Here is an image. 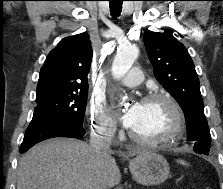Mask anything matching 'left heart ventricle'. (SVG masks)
Wrapping results in <instances>:
<instances>
[{"mask_svg": "<svg viewBox=\"0 0 223 189\" xmlns=\"http://www.w3.org/2000/svg\"><path fill=\"white\" fill-rule=\"evenodd\" d=\"M172 125V114L163 101L142 102L141 115L131 128L133 132L145 137L164 133Z\"/></svg>", "mask_w": 223, "mask_h": 189, "instance_id": "1", "label": "left heart ventricle"}]
</instances>
